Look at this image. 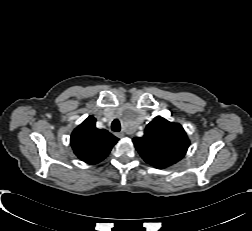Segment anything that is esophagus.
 <instances>
[{"instance_id": "esophagus-1", "label": "esophagus", "mask_w": 252, "mask_h": 231, "mask_svg": "<svg viewBox=\"0 0 252 231\" xmlns=\"http://www.w3.org/2000/svg\"><path fill=\"white\" fill-rule=\"evenodd\" d=\"M116 135L119 138H123L125 136L124 132L117 133Z\"/></svg>"}]
</instances>
